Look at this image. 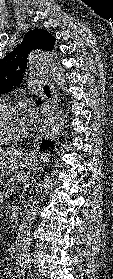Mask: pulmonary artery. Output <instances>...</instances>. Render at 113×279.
Masks as SVG:
<instances>
[{
	"instance_id": "e3ab8cb5",
	"label": "pulmonary artery",
	"mask_w": 113,
	"mask_h": 279,
	"mask_svg": "<svg viewBox=\"0 0 113 279\" xmlns=\"http://www.w3.org/2000/svg\"><path fill=\"white\" fill-rule=\"evenodd\" d=\"M33 76H34L32 79L33 84L41 85V84H46L48 82V77L42 73H34Z\"/></svg>"
}]
</instances>
